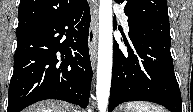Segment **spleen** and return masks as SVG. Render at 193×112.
<instances>
[{"label":"spleen","instance_id":"spleen-1","mask_svg":"<svg viewBox=\"0 0 193 112\" xmlns=\"http://www.w3.org/2000/svg\"><path fill=\"white\" fill-rule=\"evenodd\" d=\"M126 108L135 112H163L161 108L143 101L129 102Z\"/></svg>","mask_w":193,"mask_h":112}]
</instances>
